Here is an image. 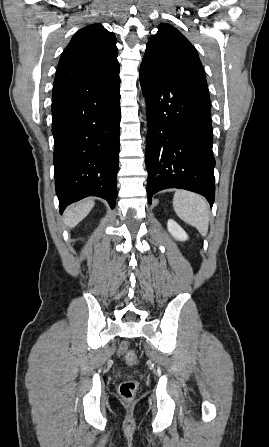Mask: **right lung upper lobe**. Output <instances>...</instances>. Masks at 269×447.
Instances as JSON below:
<instances>
[{
	"instance_id": "1",
	"label": "right lung upper lobe",
	"mask_w": 269,
	"mask_h": 447,
	"mask_svg": "<svg viewBox=\"0 0 269 447\" xmlns=\"http://www.w3.org/2000/svg\"><path fill=\"white\" fill-rule=\"evenodd\" d=\"M116 37L101 24L79 30L65 48L54 85L94 80L119 70Z\"/></svg>"
}]
</instances>
